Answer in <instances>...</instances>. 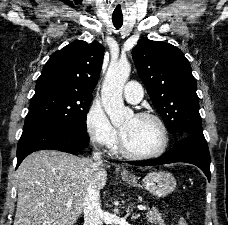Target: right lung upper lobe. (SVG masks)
Here are the masks:
<instances>
[{
  "mask_svg": "<svg viewBox=\"0 0 228 225\" xmlns=\"http://www.w3.org/2000/svg\"><path fill=\"white\" fill-rule=\"evenodd\" d=\"M103 52V46L97 41L72 42L52 54L36 86L57 84L91 94L100 75Z\"/></svg>",
  "mask_w": 228,
  "mask_h": 225,
  "instance_id": "obj_1",
  "label": "right lung upper lobe"
}]
</instances>
